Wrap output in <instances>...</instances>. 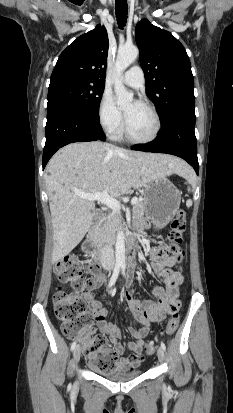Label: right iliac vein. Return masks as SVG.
Segmentation results:
<instances>
[{
  "mask_svg": "<svg viewBox=\"0 0 233 413\" xmlns=\"http://www.w3.org/2000/svg\"><path fill=\"white\" fill-rule=\"evenodd\" d=\"M73 356H74V361H75L76 363H78L79 360H80V356H81V348H80V346H77V347L75 348L74 353H73Z\"/></svg>",
  "mask_w": 233,
  "mask_h": 413,
  "instance_id": "63e3f726",
  "label": "right iliac vein"
}]
</instances>
